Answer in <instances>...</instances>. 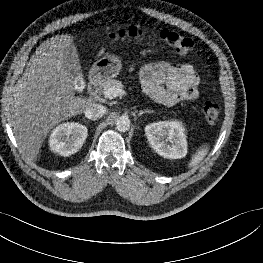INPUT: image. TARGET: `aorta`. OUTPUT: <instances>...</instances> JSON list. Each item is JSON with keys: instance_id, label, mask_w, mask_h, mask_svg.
<instances>
[{"instance_id": "1", "label": "aorta", "mask_w": 263, "mask_h": 263, "mask_svg": "<svg viewBox=\"0 0 263 263\" xmlns=\"http://www.w3.org/2000/svg\"><path fill=\"white\" fill-rule=\"evenodd\" d=\"M115 128L119 132H126L130 129V120L128 117L121 116L115 122Z\"/></svg>"}]
</instances>
